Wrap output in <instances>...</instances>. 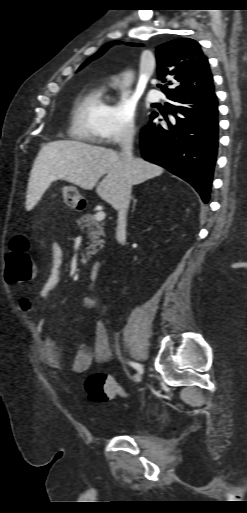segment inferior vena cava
<instances>
[{
    "label": "inferior vena cava",
    "instance_id": "602c4592",
    "mask_svg": "<svg viewBox=\"0 0 247 513\" xmlns=\"http://www.w3.org/2000/svg\"><path fill=\"white\" fill-rule=\"evenodd\" d=\"M133 140H134V131L128 130L124 133L121 138V150L125 159V166L128 170L132 168L133 164ZM131 198V184L126 182L122 184L120 187L118 196L112 202V206L118 211V229H117V239L119 243L123 242L125 236V220L126 214L129 208Z\"/></svg>",
    "mask_w": 247,
    "mask_h": 513
}]
</instances>
